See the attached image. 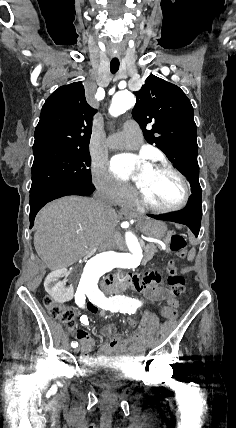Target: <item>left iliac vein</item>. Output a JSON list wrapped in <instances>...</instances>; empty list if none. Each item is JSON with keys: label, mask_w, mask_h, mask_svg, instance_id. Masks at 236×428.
I'll list each match as a JSON object with an SVG mask.
<instances>
[{"label": "left iliac vein", "mask_w": 236, "mask_h": 428, "mask_svg": "<svg viewBox=\"0 0 236 428\" xmlns=\"http://www.w3.org/2000/svg\"><path fill=\"white\" fill-rule=\"evenodd\" d=\"M147 342H148V343H151L152 345L155 343L151 338H148V339H147Z\"/></svg>", "instance_id": "1"}]
</instances>
